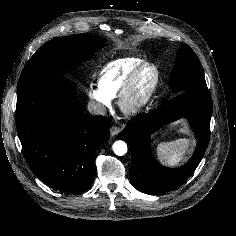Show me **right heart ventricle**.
I'll return each mask as SVG.
<instances>
[{
  "mask_svg": "<svg viewBox=\"0 0 236 236\" xmlns=\"http://www.w3.org/2000/svg\"><path fill=\"white\" fill-rule=\"evenodd\" d=\"M145 60L125 57L108 63L98 75V86L110 97H118L129 75Z\"/></svg>",
  "mask_w": 236,
  "mask_h": 236,
  "instance_id": "e07e8e85",
  "label": "right heart ventricle"
}]
</instances>
